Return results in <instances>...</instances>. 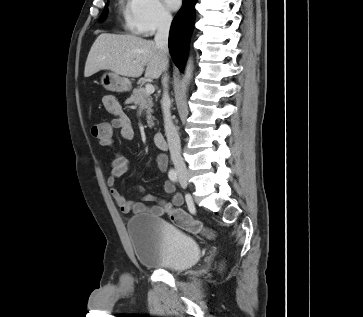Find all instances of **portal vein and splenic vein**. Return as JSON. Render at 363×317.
<instances>
[{"instance_id":"portal-vein-and-splenic-vein-1","label":"portal vein and splenic vein","mask_w":363,"mask_h":317,"mask_svg":"<svg viewBox=\"0 0 363 317\" xmlns=\"http://www.w3.org/2000/svg\"><path fill=\"white\" fill-rule=\"evenodd\" d=\"M154 91H155V88H154V86H153L152 84L147 83V84L145 85V92H146L147 94H152V93H154Z\"/></svg>"}]
</instances>
